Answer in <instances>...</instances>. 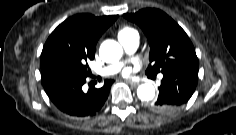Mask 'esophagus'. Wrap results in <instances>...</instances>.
<instances>
[{
    "label": "esophagus",
    "mask_w": 236,
    "mask_h": 135,
    "mask_svg": "<svg viewBox=\"0 0 236 135\" xmlns=\"http://www.w3.org/2000/svg\"><path fill=\"white\" fill-rule=\"evenodd\" d=\"M126 82H127L129 85L133 86V87H136V86L139 85L138 82H135V81H132V80H127Z\"/></svg>",
    "instance_id": "1"
}]
</instances>
